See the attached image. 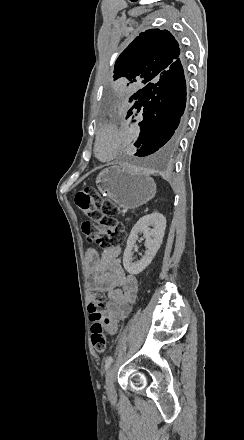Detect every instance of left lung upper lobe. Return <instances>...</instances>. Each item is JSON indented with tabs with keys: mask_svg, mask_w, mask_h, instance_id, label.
<instances>
[{
	"mask_svg": "<svg viewBox=\"0 0 244 440\" xmlns=\"http://www.w3.org/2000/svg\"><path fill=\"white\" fill-rule=\"evenodd\" d=\"M180 59L178 42L167 30L140 33L121 53L114 66L113 80L125 79L148 84Z\"/></svg>",
	"mask_w": 244,
	"mask_h": 440,
	"instance_id": "1",
	"label": "left lung upper lobe"
}]
</instances>
